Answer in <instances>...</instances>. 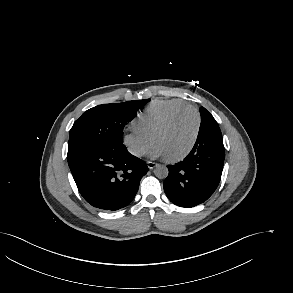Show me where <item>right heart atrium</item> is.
I'll return each mask as SVG.
<instances>
[{"label":"right heart atrium","mask_w":293,"mask_h":293,"mask_svg":"<svg viewBox=\"0 0 293 293\" xmlns=\"http://www.w3.org/2000/svg\"><path fill=\"white\" fill-rule=\"evenodd\" d=\"M123 143L133 156L141 157L149 149L151 138L132 128L124 134Z\"/></svg>","instance_id":"right-heart-atrium-1"}]
</instances>
